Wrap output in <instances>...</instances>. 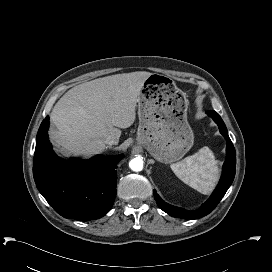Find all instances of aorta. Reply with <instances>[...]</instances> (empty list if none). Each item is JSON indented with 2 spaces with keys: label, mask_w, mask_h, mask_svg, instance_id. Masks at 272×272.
I'll list each match as a JSON object with an SVG mask.
<instances>
[{
  "label": "aorta",
  "mask_w": 272,
  "mask_h": 272,
  "mask_svg": "<svg viewBox=\"0 0 272 272\" xmlns=\"http://www.w3.org/2000/svg\"><path fill=\"white\" fill-rule=\"evenodd\" d=\"M129 167L135 172H139L143 169V160L140 157L133 158L129 162Z\"/></svg>",
  "instance_id": "aorta-1"
}]
</instances>
